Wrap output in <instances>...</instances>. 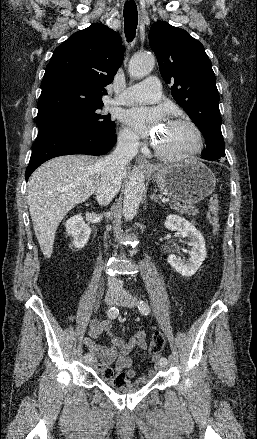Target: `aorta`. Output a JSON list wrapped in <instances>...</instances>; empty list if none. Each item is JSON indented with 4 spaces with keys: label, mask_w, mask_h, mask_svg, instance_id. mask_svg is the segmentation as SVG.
<instances>
[{
    "label": "aorta",
    "mask_w": 257,
    "mask_h": 439,
    "mask_svg": "<svg viewBox=\"0 0 257 439\" xmlns=\"http://www.w3.org/2000/svg\"><path fill=\"white\" fill-rule=\"evenodd\" d=\"M154 64L155 60L151 54L135 55L129 62L128 71L132 77L139 79L148 75ZM144 188L143 172L139 168L133 169L124 192L123 215L126 221H131L137 214Z\"/></svg>",
    "instance_id": "obj_1"
}]
</instances>
